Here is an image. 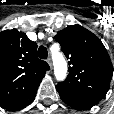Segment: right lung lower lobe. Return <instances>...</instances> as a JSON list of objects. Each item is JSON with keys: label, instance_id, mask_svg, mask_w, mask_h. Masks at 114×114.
Here are the masks:
<instances>
[{"label": "right lung lower lobe", "instance_id": "1", "mask_svg": "<svg viewBox=\"0 0 114 114\" xmlns=\"http://www.w3.org/2000/svg\"><path fill=\"white\" fill-rule=\"evenodd\" d=\"M34 99H35V95H33V96L29 97L28 99H26L22 102H19L15 105L9 106L5 109H7L9 111H16V110L22 109V108L26 107L27 105L31 104Z\"/></svg>", "mask_w": 114, "mask_h": 114}]
</instances>
